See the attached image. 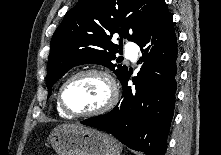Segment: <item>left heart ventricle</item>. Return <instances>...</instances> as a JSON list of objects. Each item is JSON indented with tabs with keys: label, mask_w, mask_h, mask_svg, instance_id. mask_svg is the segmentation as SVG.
<instances>
[{
	"label": "left heart ventricle",
	"mask_w": 221,
	"mask_h": 155,
	"mask_svg": "<svg viewBox=\"0 0 221 155\" xmlns=\"http://www.w3.org/2000/svg\"><path fill=\"white\" fill-rule=\"evenodd\" d=\"M108 87L97 75H84L74 79L64 91L66 106L74 112H89L101 107L107 100Z\"/></svg>",
	"instance_id": "1"
}]
</instances>
